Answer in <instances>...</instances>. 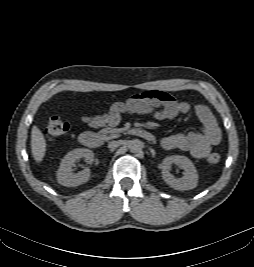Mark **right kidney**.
Masks as SVG:
<instances>
[{"label": "right kidney", "mask_w": 254, "mask_h": 267, "mask_svg": "<svg viewBox=\"0 0 254 267\" xmlns=\"http://www.w3.org/2000/svg\"><path fill=\"white\" fill-rule=\"evenodd\" d=\"M81 158L85 161L92 162L94 153L89 149L77 148L65 155L57 171V181L59 184L67 187H73L81 185L89 180V168H86L78 173L72 172V168L75 166V163Z\"/></svg>", "instance_id": "obj_1"}]
</instances>
